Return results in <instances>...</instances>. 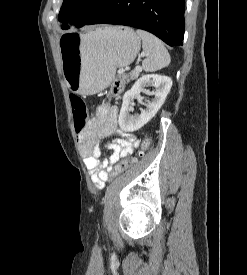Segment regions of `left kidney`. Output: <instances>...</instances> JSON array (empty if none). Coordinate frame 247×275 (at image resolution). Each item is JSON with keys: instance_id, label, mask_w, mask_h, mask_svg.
<instances>
[{"instance_id": "1", "label": "left kidney", "mask_w": 247, "mask_h": 275, "mask_svg": "<svg viewBox=\"0 0 247 275\" xmlns=\"http://www.w3.org/2000/svg\"><path fill=\"white\" fill-rule=\"evenodd\" d=\"M153 86L155 91L149 92L154 98L151 102L145 103L146 109H142L140 114L130 115V109L134 105L133 101L144 91L145 87ZM172 87L170 77L158 74H147L139 78L132 88L123 96V103L119 114V126L123 131L132 132L139 130L148 123L163 105L166 96Z\"/></svg>"}]
</instances>
